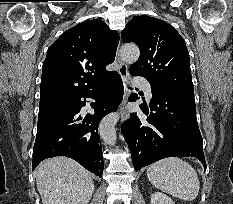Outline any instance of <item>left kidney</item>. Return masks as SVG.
<instances>
[{
	"label": "left kidney",
	"instance_id": "left-kidney-1",
	"mask_svg": "<svg viewBox=\"0 0 233 204\" xmlns=\"http://www.w3.org/2000/svg\"><path fill=\"white\" fill-rule=\"evenodd\" d=\"M151 204H175V203L166 194L161 192H155L151 195Z\"/></svg>",
	"mask_w": 233,
	"mask_h": 204
}]
</instances>
